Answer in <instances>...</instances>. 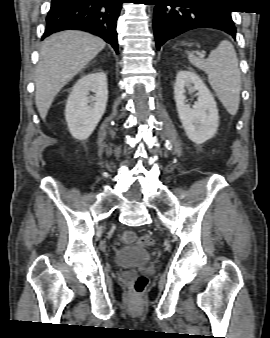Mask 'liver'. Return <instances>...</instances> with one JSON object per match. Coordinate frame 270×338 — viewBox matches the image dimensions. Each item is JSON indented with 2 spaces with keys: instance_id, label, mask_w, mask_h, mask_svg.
<instances>
[{
  "instance_id": "1",
  "label": "liver",
  "mask_w": 270,
  "mask_h": 338,
  "mask_svg": "<svg viewBox=\"0 0 270 338\" xmlns=\"http://www.w3.org/2000/svg\"><path fill=\"white\" fill-rule=\"evenodd\" d=\"M104 47L101 38L82 31H63L44 40L35 72V103L42 119L58 92Z\"/></svg>"
}]
</instances>
